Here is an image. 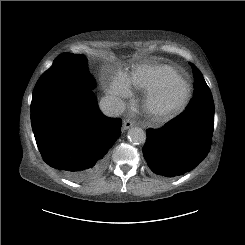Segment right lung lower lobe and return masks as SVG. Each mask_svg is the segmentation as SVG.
Wrapping results in <instances>:
<instances>
[{
    "label": "right lung lower lobe",
    "instance_id": "obj_1",
    "mask_svg": "<svg viewBox=\"0 0 245 245\" xmlns=\"http://www.w3.org/2000/svg\"><path fill=\"white\" fill-rule=\"evenodd\" d=\"M31 125L43 160L69 179L86 182L104 171L122 123L99 110L90 89H79L31 105Z\"/></svg>",
    "mask_w": 245,
    "mask_h": 245
}]
</instances>
